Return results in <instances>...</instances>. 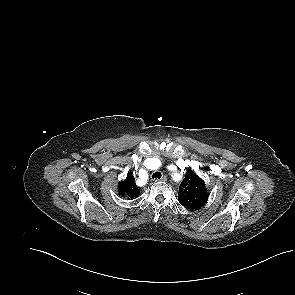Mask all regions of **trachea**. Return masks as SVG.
<instances>
[{
  "label": "trachea",
  "instance_id": "trachea-1",
  "mask_svg": "<svg viewBox=\"0 0 295 295\" xmlns=\"http://www.w3.org/2000/svg\"><path fill=\"white\" fill-rule=\"evenodd\" d=\"M161 173L160 172H155L153 175H152V178H157V179H160L161 178Z\"/></svg>",
  "mask_w": 295,
  "mask_h": 295
}]
</instances>
